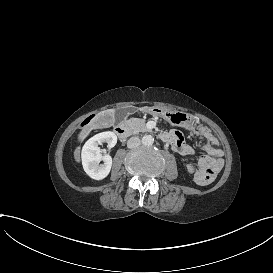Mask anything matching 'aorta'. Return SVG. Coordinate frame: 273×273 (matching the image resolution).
<instances>
[{"instance_id": "1", "label": "aorta", "mask_w": 273, "mask_h": 273, "mask_svg": "<svg viewBox=\"0 0 273 273\" xmlns=\"http://www.w3.org/2000/svg\"><path fill=\"white\" fill-rule=\"evenodd\" d=\"M142 144L145 146H150L154 143V138L151 135H144L141 140Z\"/></svg>"}]
</instances>
